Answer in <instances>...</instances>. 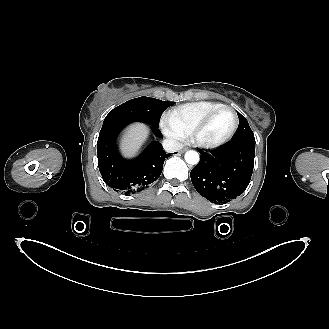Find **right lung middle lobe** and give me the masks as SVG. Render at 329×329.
Listing matches in <instances>:
<instances>
[{"instance_id": "1", "label": "right lung middle lobe", "mask_w": 329, "mask_h": 329, "mask_svg": "<svg viewBox=\"0 0 329 329\" xmlns=\"http://www.w3.org/2000/svg\"><path fill=\"white\" fill-rule=\"evenodd\" d=\"M171 105H173V102L161 101L155 98H135L110 111L103 124L109 122L130 123L143 121L150 123L153 127H158L163 111Z\"/></svg>"}]
</instances>
